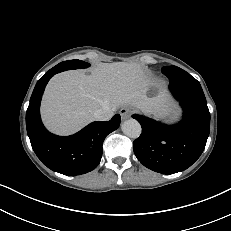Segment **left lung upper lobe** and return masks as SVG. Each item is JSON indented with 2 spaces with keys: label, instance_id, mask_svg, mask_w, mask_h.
Returning <instances> with one entry per match:
<instances>
[{
  "label": "left lung upper lobe",
  "instance_id": "obj_1",
  "mask_svg": "<svg viewBox=\"0 0 231 231\" xmlns=\"http://www.w3.org/2000/svg\"><path fill=\"white\" fill-rule=\"evenodd\" d=\"M175 67H176V66H175ZM171 68H174V66L164 67V68L162 69V71L167 70V69H171Z\"/></svg>",
  "mask_w": 231,
  "mask_h": 231
}]
</instances>
